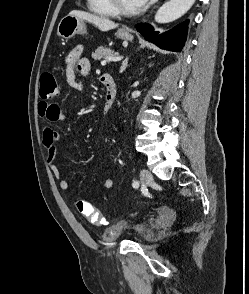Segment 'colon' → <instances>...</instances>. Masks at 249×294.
<instances>
[{
	"instance_id": "5ec220e1",
	"label": "colon",
	"mask_w": 249,
	"mask_h": 294,
	"mask_svg": "<svg viewBox=\"0 0 249 294\" xmlns=\"http://www.w3.org/2000/svg\"><path fill=\"white\" fill-rule=\"evenodd\" d=\"M58 93V83L52 72H45L40 78V97L43 100H50ZM77 210L91 224L101 226L104 224L103 215L89 202L80 200L77 202Z\"/></svg>"
}]
</instances>
